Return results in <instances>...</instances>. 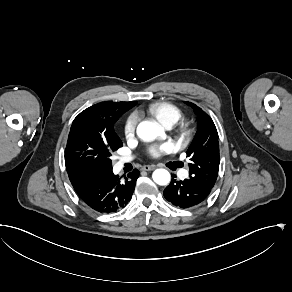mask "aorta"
<instances>
[{"instance_id":"1","label":"aorta","mask_w":292,"mask_h":292,"mask_svg":"<svg viewBox=\"0 0 292 292\" xmlns=\"http://www.w3.org/2000/svg\"><path fill=\"white\" fill-rule=\"evenodd\" d=\"M137 135L144 141H152L158 136L164 137L165 132L157 123L143 121L137 127ZM152 178L155 183L164 186L170 182L171 176L166 169H156L152 174Z\"/></svg>"}]
</instances>
